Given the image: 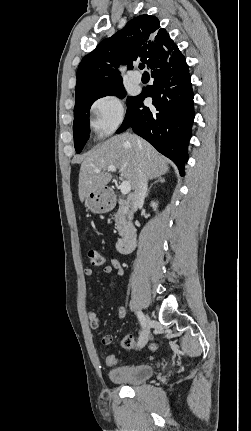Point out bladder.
Instances as JSON below:
<instances>
[{"mask_svg":"<svg viewBox=\"0 0 251 431\" xmlns=\"http://www.w3.org/2000/svg\"><path fill=\"white\" fill-rule=\"evenodd\" d=\"M154 373L150 364H134L114 367L109 370V379L116 384L136 385L149 379Z\"/></svg>","mask_w":251,"mask_h":431,"instance_id":"1","label":"bladder"}]
</instances>
